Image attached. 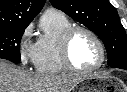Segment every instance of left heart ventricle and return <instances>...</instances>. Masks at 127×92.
I'll use <instances>...</instances> for the list:
<instances>
[{"label":"left heart ventricle","instance_id":"1","mask_svg":"<svg viewBox=\"0 0 127 92\" xmlns=\"http://www.w3.org/2000/svg\"><path fill=\"white\" fill-rule=\"evenodd\" d=\"M73 64L80 69L95 66L100 60V52L93 38L84 32H79L73 38L70 49Z\"/></svg>","mask_w":127,"mask_h":92}]
</instances>
